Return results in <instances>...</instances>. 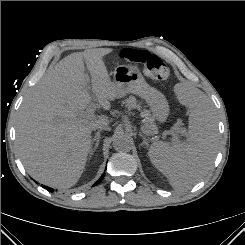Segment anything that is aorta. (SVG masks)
<instances>
[{"label": "aorta", "mask_w": 245, "mask_h": 245, "mask_svg": "<svg viewBox=\"0 0 245 245\" xmlns=\"http://www.w3.org/2000/svg\"><path fill=\"white\" fill-rule=\"evenodd\" d=\"M131 140L129 137L119 135L113 141V147L116 151L128 152L131 150Z\"/></svg>", "instance_id": "obj_1"}]
</instances>
